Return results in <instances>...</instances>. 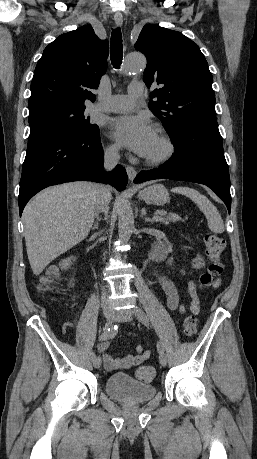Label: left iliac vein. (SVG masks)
Instances as JSON below:
<instances>
[{"label": "left iliac vein", "mask_w": 257, "mask_h": 459, "mask_svg": "<svg viewBox=\"0 0 257 459\" xmlns=\"http://www.w3.org/2000/svg\"><path fill=\"white\" fill-rule=\"evenodd\" d=\"M135 311L129 309H123L115 312V320L119 322H130L132 321ZM159 361L162 366H166L167 357L164 353H160Z\"/></svg>", "instance_id": "4c4485c4"}]
</instances>
